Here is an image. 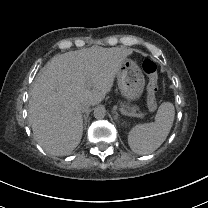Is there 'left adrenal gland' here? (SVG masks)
<instances>
[{"label": "left adrenal gland", "instance_id": "1", "mask_svg": "<svg viewBox=\"0 0 208 208\" xmlns=\"http://www.w3.org/2000/svg\"><path fill=\"white\" fill-rule=\"evenodd\" d=\"M112 112L115 114L114 120H117L118 119V113L116 111H112Z\"/></svg>", "mask_w": 208, "mask_h": 208}]
</instances>
